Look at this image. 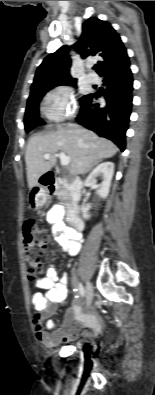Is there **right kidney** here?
I'll list each match as a JSON object with an SVG mask.
<instances>
[{"label": "right kidney", "instance_id": "obj_1", "mask_svg": "<svg viewBox=\"0 0 155 395\" xmlns=\"http://www.w3.org/2000/svg\"><path fill=\"white\" fill-rule=\"evenodd\" d=\"M114 174V164L112 162H104L99 164L86 178L85 185L96 187L97 194L105 199L110 190L111 180ZM101 176L102 182L101 184H97L96 178ZM82 215L84 219H88L90 217L88 211L89 208L85 207L84 204L81 207Z\"/></svg>", "mask_w": 155, "mask_h": 395}]
</instances>
